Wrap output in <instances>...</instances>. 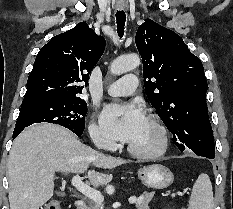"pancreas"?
I'll return each mask as SVG.
<instances>
[{"mask_svg":"<svg viewBox=\"0 0 233 209\" xmlns=\"http://www.w3.org/2000/svg\"><path fill=\"white\" fill-rule=\"evenodd\" d=\"M154 192L144 194L136 202L137 209H149V202L152 200ZM86 209H103V205L96 202H90Z\"/></svg>","mask_w":233,"mask_h":209,"instance_id":"cf45deb5","label":"pancreas"}]
</instances>
